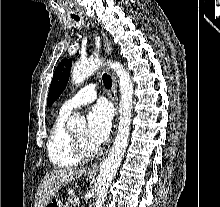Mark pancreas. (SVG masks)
I'll use <instances>...</instances> for the list:
<instances>
[{
  "instance_id": "pancreas-1",
  "label": "pancreas",
  "mask_w": 220,
  "mask_h": 207,
  "mask_svg": "<svg viewBox=\"0 0 220 207\" xmlns=\"http://www.w3.org/2000/svg\"><path fill=\"white\" fill-rule=\"evenodd\" d=\"M64 207H73V202L70 198L67 199V202Z\"/></svg>"
}]
</instances>
